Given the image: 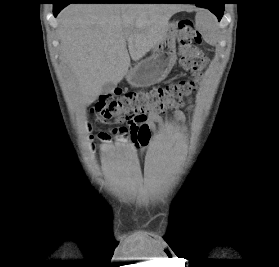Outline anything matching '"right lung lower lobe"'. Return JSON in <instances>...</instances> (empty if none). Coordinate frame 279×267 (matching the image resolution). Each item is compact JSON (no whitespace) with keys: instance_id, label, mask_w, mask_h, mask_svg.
Here are the masks:
<instances>
[{"instance_id":"right-lung-lower-lobe-1","label":"right lung lower lobe","mask_w":279,"mask_h":267,"mask_svg":"<svg viewBox=\"0 0 279 267\" xmlns=\"http://www.w3.org/2000/svg\"><path fill=\"white\" fill-rule=\"evenodd\" d=\"M166 0H56L53 2V13L57 14L70 3H163Z\"/></svg>"}]
</instances>
